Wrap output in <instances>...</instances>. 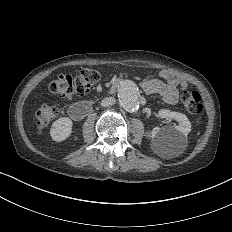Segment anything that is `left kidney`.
Segmentation results:
<instances>
[{
	"instance_id": "5707ae66",
	"label": "left kidney",
	"mask_w": 232,
	"mask_h": 232,
	"mask_svg": "<svg viewBox=\"0 0 232 232\" xmlns=\"http://www.w3.org/2000/svg\"><path fill=\"white\" fill-rule=\"evenodd\" d=\"M156 116L176 120L178 125L163 128L155 126L152 130L151 148L155 151L164 150L166 153L183 151L187 147V135L191 131V123L186 115L163 108L158 110Z\"/></svg>"
}]
</instances>
